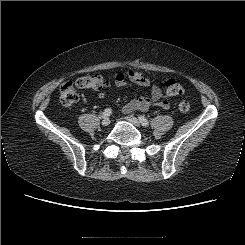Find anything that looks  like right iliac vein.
Wrapping results in <instances>:
<instances>
[{
  "label": "right iliac vein",
  "instance_id": "obj_1",
  "mask_svg": "<svg viewBox=\"0 0 245 245\" xmlns=\"http://www.w3.org/2000/svg\"><path fill=\"white\" fill-rule=\"evenodd\" d=\"M110 124V119L109 118H104L103 120H102V125L103 126H108Z\"/></svg>",
  "mask_w": 245,
  "mask_h": 245
}]
</instances>
